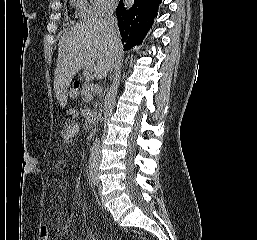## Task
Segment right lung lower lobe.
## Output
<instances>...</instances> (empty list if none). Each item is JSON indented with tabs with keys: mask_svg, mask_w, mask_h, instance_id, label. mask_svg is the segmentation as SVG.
Listing matches in <instances>:
<instances>
[{
	"mask_svg": "<svg viewBox=\"0 0 257 240\" xmlns=\"http://www.w3.org/2000/svg\"><path fill=\"white\" fill-rule=\"evenodd\" d=\"M161 0H134L127 6L120 0L116 9L118 27L125 49L141 44L157 15Z\"/></svg>",
	"mask_w": 257,
	"mask_h": 240,
	"instance_id": "right-lung-lower-lobe-1",
	"label": "right lung lower lobe"
}]
</instances>
